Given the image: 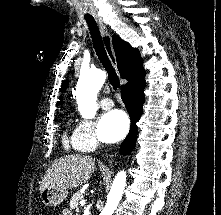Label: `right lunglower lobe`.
I'll return each instance as SVG.
<instances>
[{"label": "right lung lower lobe", "mask_w": 221, "mask_h": 215, "mask_svg": "<svg viewBox=\"0 0 221 215\" xmlns=\"http://www.w3.org/2000/svg\"><path fill=\"white\" fill-rule=\"evenodd\" d=\"M144 77L127 87L122 88L121 95L124 104L128 110L131 119V128L126 139L120 146L121 154H129L136 143L137 138V126L136 122L142 115V107L144 103Z\"/></svg>", "instance_id": "right-lung-lower-lobe-1"}]
</instances>
